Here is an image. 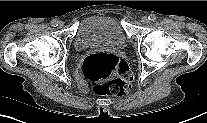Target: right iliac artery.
<instances>
[{"label": "right iliac artery", "instance_id": "obj_1", "mask_svg": "<svg viewBox=\"0 0 207 123\" xmlns=\"http://www.w3.org/2000/svg\"><path fill=\"white\" fill-rule=\"evenodd\" d=\"M51 25L53 26V27H56V26H58V21L57 20H52L51 21Z\"/></svg>", "mask_w": 207, "mask_h": 123}]
</instances>
